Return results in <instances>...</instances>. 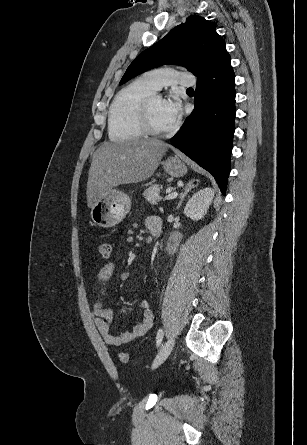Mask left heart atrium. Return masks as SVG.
Listing matches in <instances>:
<instances>
[{"label":"left heart atrium","instance_id":"39dd6f15","mask_svg":"<svg viewBox=\"0 0 307 445\" xmlns=\"http://www.w3.org/2000/svg\"><path fill=\"white\" fill-rule=\"evenodd\" d=\"M164 110L167 118L175 122L181 116V101L176 93H171L163 100Z\"/></svg>","mask_w":307,"mask_h":445}]
</instances>
